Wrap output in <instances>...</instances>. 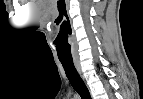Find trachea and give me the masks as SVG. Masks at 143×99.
Instances as JSON below:
<instances>
[{"label": "trachea", "mask_w": 143, "mask_h": 99, "mask_svg": "<svg viewBox=\"0 0 143 99\" xmlns=\"http://www.w3.org/2000/svg\"><path fill=\"white\" fill-rule=\"evenodd\" d=\"M65 73L70 81V84L75 89V91L80 95L82 99H91L90 93L81 79L80 75L78 74L73 60H60Z\"/></svg>", "instance_id": "3493384b"}]
</instances>
